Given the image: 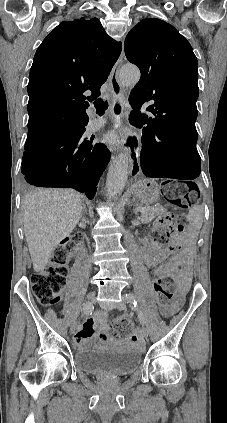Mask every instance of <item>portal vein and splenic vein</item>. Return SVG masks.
I'll use <instances>...</instances> for the list:
<instances>
[{
    "label": "portal vein and splenic vein",
    "instance_id": "portal-vein-and-splenic-vein-1",
    "mask_svg": "<svg viewBox=\"0 0 227 423\" xmlns=\"http://www.w3.org/2000/svg\"><path fill=\"white\" fill-rule=\"evenodd\" d=\"M148 210H154V208H139V211H148Z\"/></svg>",
    "mask_w": 227,
    "mask_h": 423
}]
</instances>
